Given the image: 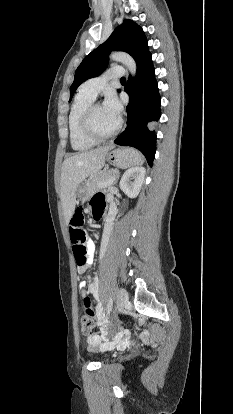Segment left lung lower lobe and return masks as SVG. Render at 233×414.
<instances>
[{"instance_id":"0a47b994","label":"left lung lower lobe","mask_w":233,"mask_h":414,"mask_svg":"<svg viewBox=\"0 0 233 414\" xmlns=\"http://www.w3.org/2000/svg\"><path fill=\"white\" fill-rule=\"evenodd\" d=\"M154 72L150 54L137 66L135 78L129 77L124 88L130 96L127 127L114 140L118 145L132 146L140 150L150 166L156 152V132L153 125L161 116V98Z\"/></svg>"}]
</instances>
